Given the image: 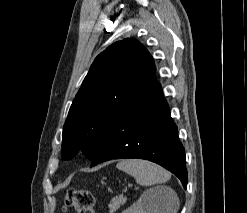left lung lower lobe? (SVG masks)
Instances as JSON below:
<instances>
[{
	"instance_id": "1",
	"label": "left lung lower lobe",
	"mask_w": 247,
	"mask_h": 213,
	"mask_svg": "<svg viewBox=\"0 0 247 213\" xmlns=\"http://www.w3.org/2000/svg\"><path fill=\"white\" fill-rule=\"evenodd\" d=\"M155 67L137 97L127 106L91 159V167L111 159L139 158L155 162L174 173L187 187L185 151L170 116Z\"/></svg>"
}]
</instances>
